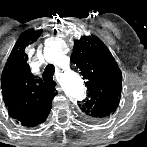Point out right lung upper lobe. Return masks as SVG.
<instances>
[{
	"mask_svg": "<svg viewBox=\"0 0 147 147\" xmlns=\"http://www.w3.org/2000/svg\"><path fill=\"white\" fill-rule=\"evenodd\" d=\"M39 34L32 35L26 32L20 36L2 74L3 98L9 114L28 127L46 120L56 94L53 81L37 79L30 73L27 64L25 43Z\"/></svg>",
	"mask_w": 147,
	"mask_h": 147,
	"instance_id": "right-lung-upper-lobe-1",
	"label": "right lung upper lobe"
}]
</instances>
